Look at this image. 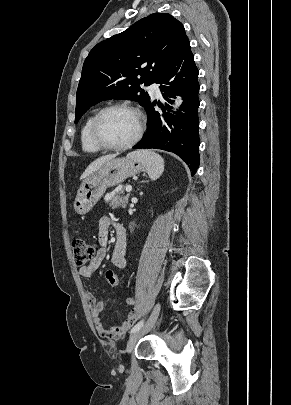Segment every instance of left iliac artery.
Returning <instances> with one entry per match:
<instances>
[{
  "instance_id": "1",
  "label": "left iliac artery",
  "mask_w": 291,
  "mask_h": 405,
  "mask_svg": "<svg viewBox=\"0 0 291 405\" xmlns=\"http://www.w3.org/2000/svg\"><path fill=\"white\" fill-rule=\"evenodd\" d=\"M144 320L139 321L130 331V333H135L143 326Z\"/></svg>"
}]
</instances>
